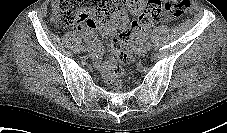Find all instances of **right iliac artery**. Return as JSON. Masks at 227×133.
<instances>
[{
	"label": "right iliac artery",
	"mask_w": 227,
	"mask_h": 133,
	"mask_svg": "<svg viewBox=\"0 0 227 133\" xmlns=\"http://www.w3.org/2000/svg\"><path fill=\"white\" fill-rule=\"evenodd\" d=\"M84 47H85V45H82V46H81V49L83 50V49H84Z\"/></svg>",
	"instance_id": "obj_1"
}]
</instances>
